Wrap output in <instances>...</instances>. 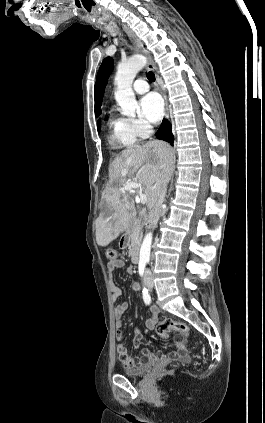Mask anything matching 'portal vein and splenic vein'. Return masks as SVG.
Returning <instances> with one entry per match:
<instances>
[{
  "mask_svg": "<svg viewBox=\"0 0 265 423\" xmlns=\"http://www.w3.org/2000/svg\"><path fill=\"white\" fill-rule=\"evenodd\" d=\"M139 188H140V184H138L137 182L129 181L123 186L122 190L130 191L132 189H139ZM138 200L141 204H145L147 202V197L144 193L141 192L138 194Z\"/></svg>",
  "mask_w": 265,
  "mask_h": 423,
  "instance_id": "1",
  "label": "portal vein and splenic vein"
}]
</instances>
